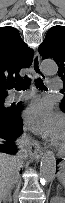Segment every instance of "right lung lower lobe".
Masks as SVG:
<instances>
[{
  "label": "right lung lower lobe",
  "instance_id": "98d812e1",
  "mask_svg": "<svg viewBox=\"0 0 65 203\" xmlns=\"http://www.w3.org/2000/svg\"><path fill=\"white\" fill-rule=\"evenodd\" d=\"M22 105L12 107L9 112H0V138L7 140L0 143V152L15 154L13 141L22 133L23 120L20 116Z\"/></svg>",
  "mask_w": 65,
  "mask_h": 203
}]
</instances>
